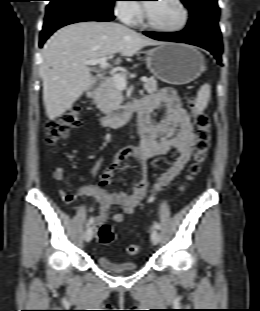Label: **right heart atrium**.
<instances>
[{
    "instance_id": "obj_1",
    "label": "right heart atrium",
    "mask_w": 260,
    "mask_h": 311,
    "mask_svg": "<svg viewBox=\"0 0 260 311\" xmlns=\"http://www.w3.org/2000/svg\"><path fill=\"white\" fill-rule=\"evenodd\" d=\"M114 11L121 21L128 24L137 22L142 14V8L133 1L118 0Z\"/></svg>"
}]
</instances>
